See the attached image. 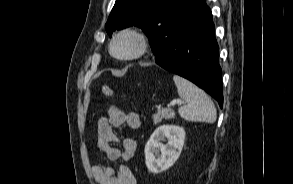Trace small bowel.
Returning a JSON list of instances; mask_svg holds the SVG:
<instances>
[{"mask_svg": "<svg viewBox=\"0 0 293 184\" xmlns=\"http://www.w3.org/2000/svg\"><path fill=\"white\" fill-rule=\"evenodd\" d=\"M141 125L137 112H124L118 107L111 106L106 116L97 122V146L108 161L130 160L137 150V141L126 136L119 138L114 128L126 126L130 130L138 129ZM120 143L122 150L115 146ZM92 175L98 184H136V179L126 164L113 168L105 164H97L92 168Z\"/></svg>", "mask_w": 293, "mask_h": 184, "instance_id": "obj_1", "label": "small bowel"}]
</instances>
